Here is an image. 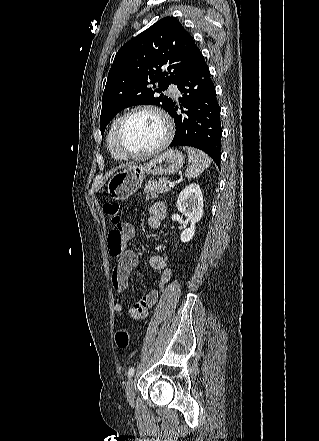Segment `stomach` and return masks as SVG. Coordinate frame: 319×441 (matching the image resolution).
I'll use <instances>...</instances> for the list:
<instances>
[{"instance_id":"1","label":"stomach","mask_w":319,"mask_h":441,"mask_svg":"<svg viewBox=\"0 0 319 441\" xmlns=\"http://www.w3.org/2000/svg\"><path fill=\"white\" fill-rule=\"evenodd\" d=\"M183 164L182 153L169 149L146 163H135L115 173L108 182L107 193L114 200L127 199L141 187L146 174H174Z\"/></svg>"}]
</instances>
